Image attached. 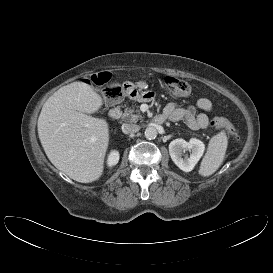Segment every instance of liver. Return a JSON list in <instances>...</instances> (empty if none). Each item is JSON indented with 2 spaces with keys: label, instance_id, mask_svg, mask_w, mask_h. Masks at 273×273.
<instances>
[{
  "label": "liver",
  "instance_id": "liver-1",
  "mask_svg": "<svg viewBox=\"0 0 273 273\" xmlns=\"http://www.w3.org/2000/svg\"><path fill=\"white\" fill-rule=\"evenodd\" d=\"M102 105L92 86L73 82L48 98L38 118V136L48 159L77 182L90 183L103 174L109 126L106 120L88 115Z\"/></svg>",
  "mask_w": 273,
  "mask_h": 273
}]
</instances>
